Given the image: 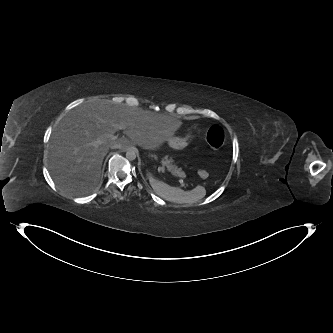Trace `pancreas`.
Segmentation results:
<instances>
[{
	"label": "pancreas",
	"mask_w": 333,
	"mask_h": 333,
	"mask_svg": "<svg viewBox=\"0 0 333 333\" xmlns=\"http://www.w3.org/2000/svg\"><path fill=\"white\" fill-rule=\"evenodd\" d=\"M161 165L162 167H166L169 171H171L174 175H178L179 177H184L185 173L182 171L181 168H178L174 164V160L166 155L162 160H161Z\"/></svg>",
	"instance_id": "pancreas-1"
}]
</instances>
